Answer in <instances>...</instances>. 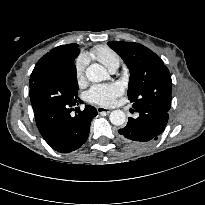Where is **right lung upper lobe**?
Returning a JSON list of instances; mask_svg holds the SVG:
<instances>
[{"mask_svg": "<svg viewBox=\"0 0 205 205\" xmlns=\"http://www.w3.org/2000/svg\"><path fill=\"white\" fill-rule=\"evenodd\" d=\"M78 54V45L75 43L53 48L36 64L30 76V85L50 72L62 70L70 64H74V58Z\"/></svg>", "mask_w": 205, "mask_h": 205, "instance_id": "1", "label": "right lung upper lobe"}]
</instances>
